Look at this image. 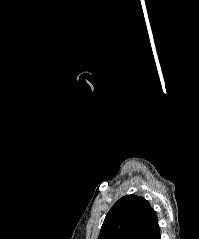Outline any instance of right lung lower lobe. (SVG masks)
<instances>
[{"mask_svg":"<svg viewBox=\"0 0 199 239\" xmlns=\"http://www.w3.org/2000/svg\"><path fill=\"white\" fill-rule=\"evenodd\" d=\"M142 239H161L158 224L154 226Z\"/></svg>","mask_w":199,"mask_h":239,"instance_id":"1","label":"right lung lower lobe"}]
</instances>
